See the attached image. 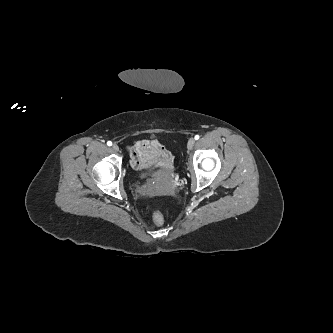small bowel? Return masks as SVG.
<instances>
[{
    "mask_svg": "<svg viewBox=\"0 0 333 333\" xmlns=\"http://www.w3.org/2000/svg\"><path fill=\"white\" fill-rule=\"evenodd\" d=\"M129 163L135 170L153 166H169L171 153L157 140H138L127 148Z\"/></svg>",
    "mask_w": 333,
    "mask_h": 333,
    "instance_id": "1",
    "label": "small bowel"
}]
</instances>
